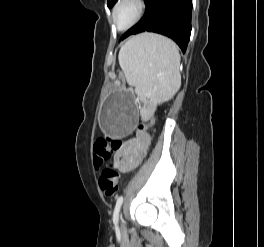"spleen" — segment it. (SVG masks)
Wrapping results in <instances>:
<instances>
[{
    "label": "spleen",
    "instance_id": "spleen-1",
    "mask_svg": "<svg viewBox=\"0 0 264 247\" xmlns=\"http://www.w3.org/2000/svg\"><path fill=\"white\" fill-rule=\"evenodd\" d=\"M118 59L138 95L170 99L180 88V54L176 44L164 36L142 33L132 37L120 49Z\"/></svg>",
    "mask_w": 264,
    "mask_h": 247
}]
</instances>
